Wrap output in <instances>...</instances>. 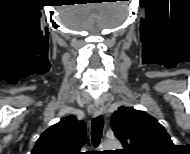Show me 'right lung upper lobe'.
<instances>
[{"instance_id":"1","label":"right lung upper lobe","mask_w":190,"mask_h":154,"mask_svg":"<svg viewBox=\"0 0 190 154\" xmlns=\"http://www.w3.org/2000/svg\"><path fill=\"white\" fill-rule=\"evenodd\" d=\"M86 125L75 116L62 118L43 132L32 154H78L83 145Z\"/></svg>"}]
</instances>
